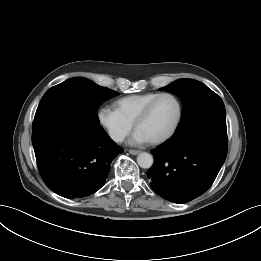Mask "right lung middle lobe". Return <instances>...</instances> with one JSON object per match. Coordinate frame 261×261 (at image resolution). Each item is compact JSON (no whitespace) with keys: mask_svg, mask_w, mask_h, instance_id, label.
<instances>
[{"mask_svg":"<svg viewBox=\"0 0 261 261\" xmlns=\"http://www.w3.org/2000/svg\"><path fill=\"white\" fill-rule=\"evenodd\" d=\"M117 95L116 91L99 86L84 77L68 79L44 94L32 128L55 119H73L99 125L98 107Z\"/></svg>","mask_w":261,"mask_h":261,"instance_id":"right-lung-middle-lobe-1","label":"right lung middle lobe"}]
</instances>
